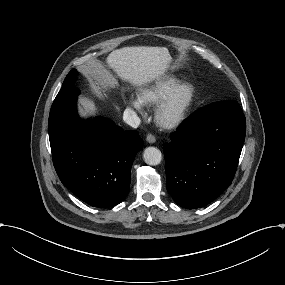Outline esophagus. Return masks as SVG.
Returning <instances> with one entry per match:
<instances>
[{
    "instance_id": "obj_1",
    "label": "esophagus",
    "mask_w": 285,
    "mask_h": 285,
    "mask_svg": "<svg viewBox=\"0 0 285 285\" xmlns=\"http://www.w3.org/2000/svg\"><path fill=\"white\" fill-rule=\"evenodd\" d=\"M146 140L148 143L150 144H154L156 142V138L155 136L151 135V134H148L147 137H146Z\"/></svg>"
}]
</instances>
